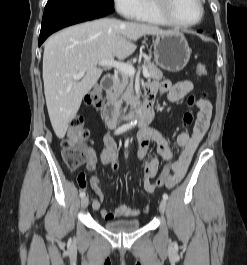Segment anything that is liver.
Segmentation results:
<instances>
[{
    "label": "liver",
    "instance_id": "liver-1",
    "mask_svg": "<svg viewBox=\"0 0 247 265\" xmlns=\"http://www.w3.org/2000/svg\"><path fill=\"white\" fill-rule=\"evenodd\" d=\"M172 31L159 27L103 18L77 24L52 35L45 43L43 82L49 118L58 138H63L76 116L83 97L100 78L103 60L131 55L134 41L145 35ZM85 69L82 78L74 76Z\"/></svg>",
    "mask_w": 247,
    "mask_h": 265
}]
</instances>
